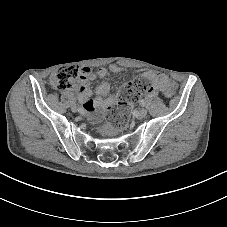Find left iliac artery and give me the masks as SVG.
Here are the masks:
<instances>
[{
    "label": "left iliac artery",
    "mask_w": 227,
    "mask_h": 227,
    "mask_svg": "<svg viewBox=\"0 0 227 227\" xmlns=\"http://www.w3.org/2000/svg\"><path fill=\"white\" fill-rule=\"evenodd\" d=\"M139 103H140L141 106H145V104H146L144 99H141V100L139 101Z\"/></svg>",
    "instance_id": "44dca946"
}]
</instances>
